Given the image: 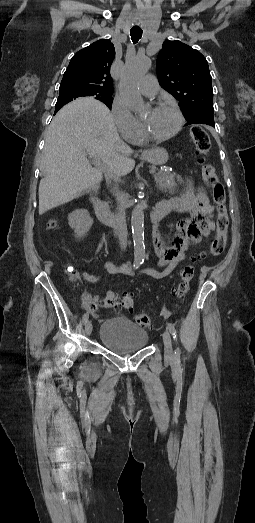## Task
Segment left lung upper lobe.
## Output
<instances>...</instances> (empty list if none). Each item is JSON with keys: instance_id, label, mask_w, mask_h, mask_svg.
Masks as SVG:
<instances>
[{"instance_id": "left-lung-upper-lobe-1", "label": "left lung upper lobe", "mask_w": 255, "mask_h": 523, "mask_svg": "<svg viewBox=\"0 0 255 523\" xmlns=\"http://www.w3.org/2000/svg\"><path fill=\"white\" fill-rule=\"evenodd\" d=\"M157 76L161 87L180 101L186 125L215 127L212 77L199 51L180 41H165L157 57Z\"/></svg>"}]
</instances>
